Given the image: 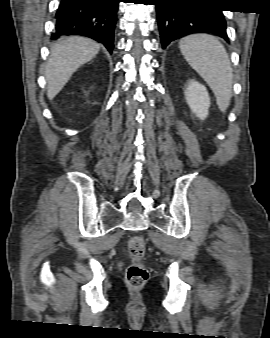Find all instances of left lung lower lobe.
Returning <instances> with one entry per match:
<instances>
[{
    "label": "left lung lower lobe",
    "instance_id": "1",
    "mask_svg": "<svg viewBox=\"0 0 270 338\" xmlns=\"http://www.w3.org/2000/svg\"><path fill=\"white\" fill-rule=\"evenodd\" d=\"M162 48L183 36L210 33L229 42L216 0H155Z\"/></svg>",
    "mask_w": 270,
    "mask_h": 338
}]
</instances>
